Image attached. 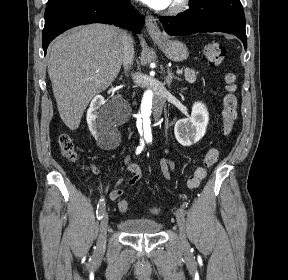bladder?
I'll return each instance as SVG.
<instances>
[{
    "label": "bladder",
    "instance_id": "1",
    "mask_svg": "<svg viewBox=\"0 0 288 280\" xmlns=\"http://www.w3.org/2000/svg\"><path fill=\"white\" fill-rule=\"evenodd\" d=\"M118 227L128 234H156L161 231L162 223L151 218H127L119 221Z\"/></svg>",
    "mask_w": 288,
    "mask_h": 280
}]
</instances>
